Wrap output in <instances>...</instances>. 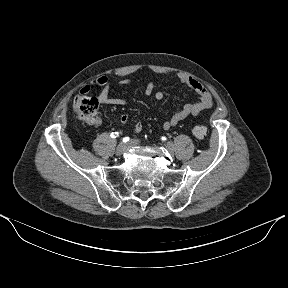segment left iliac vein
Instances as JSON below:
<instances>
[{
	"label": "left iliac vein",
	"instance_id": "1",
	"mask_svg": "<svg viewBox=\"0 0 288 288\" xmlns=\"http://www.w3.org/2000/svg\"><path fill=\"white\" fill-rule=\"evenodd\" d=\"M172 147H173V146H172V143H169V144H168V150H169L170 152H172Z\"/></svg>",
	"mask_w": 288,
	"mask_h": 288
}]
</instances>
